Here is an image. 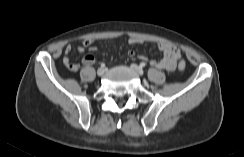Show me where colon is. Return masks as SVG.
<instances>
[{
	"label": "colon",
	"mask_w": 244,
	"mask_h": 157,
	"mask_svg": "<svg viewBox=\"0 0 244 157\" xmlns=\"http://www.w3.org/2000/svg\"><path fill=\"white\" fill-rule=\"evenodd\" d=\"M185 67H186V63H185L184 61H180V62L178 63V69H179V70H184Z\"/></svg>",
	"instance_id": "1"
}]
</instances>
